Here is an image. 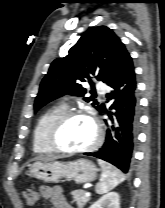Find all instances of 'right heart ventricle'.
<instances>
[{
    "label": "right heart ventricle",
    "mask_w": 165,
    "mask_h": 208,
    "mask_svg": "<svg viewBox=\"0 0 165 208\" xmlns=\"http://www.w3.org/2000/svg\"><path fill=\"white\" fill-rule=\"evenodd\" d=\"M67 110L64 104L53 106L46 110L37 120L33 130L32 147L37 154H52L54 151L46 141V134L51 124Z\"/></svg>",
    "instance_id": "right-heart-ventricle-1"
}]
</instances>
